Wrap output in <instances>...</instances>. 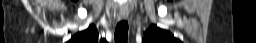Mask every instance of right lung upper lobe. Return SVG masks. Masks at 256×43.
Wrapping results in <instances>:
<instances>
[{
    "instance_id": "1",
    "label": "right lung upper lobe",
    "mask_w": 256,
    "mask_h": 43,
    "mask_svg": "<svg viewBox=\"0 0 256 43\" xmlns=\"http://www.w3.org/2000/svg\"><path fill=\"white\" fill-rule=\"evenodd\" d=\"M101 42L104 43L106 40L101 39ZM68 43H98V31L94 25H90L85 31L74 35Z\"/></svg>"
}]
</instances>
